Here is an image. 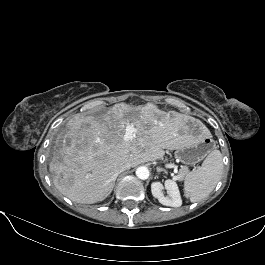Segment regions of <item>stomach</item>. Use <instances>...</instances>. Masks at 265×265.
I'll return each mask as SVG.
<instances>
[{"instance_id":"stomach-1","label":"stomach","mask_w":265,"mask_h":265,"mask_svg":"<svg viewBox=\"0 0 265 265\" xmlns=\"http://www.w3.org/2000/svg\"><path fill=\"white\" fill-rule=\"evenodd\" d=\"M212 142L203 135L193 136L187 145L177 149L175 157L186 165L201 161L212 149Z\"/></svg>"}]
</instances>
